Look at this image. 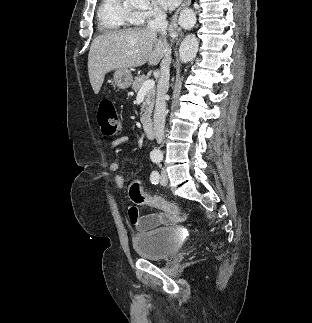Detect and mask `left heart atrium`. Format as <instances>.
<instances>
[{
  "label": "left heart atrium",
  "instance_id": "left-heart-atrium-1",
  "mask_svg": "<svg viewBox=\"0 0 312 323\" xmlns=\"http://www.w3.org/2000/svg\"><path fill=\"white\" fill-rule=\"evenodd\" d=\"M163 12H176L184 0H156Z\"/></svg>",
  "mask_w": 312,
  "mask_h": 323
}]
</instances>
